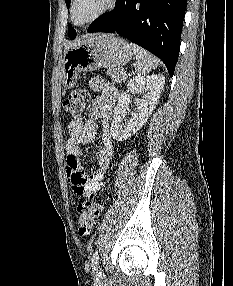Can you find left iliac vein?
<instances>
[{
	"label": "left iliac vein",
	"mask_w": 233,
	"mask_h": 286,
	"mask_svg": "<svg viewBox=\"0 0 233 286\" xmlns=\"http://www.w3.org/2000/svg\"><path fill=\"white\" fill-rule=\"evenodd\" d=\"M95 276H96V278L102 277V270L100 269V267H97Z\"/></svg>",
	"instance_id": "1"
}]
</instances>
